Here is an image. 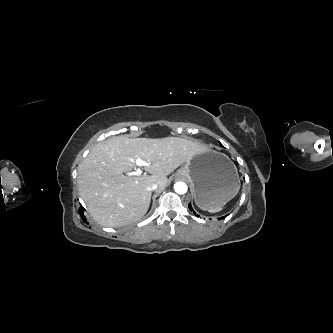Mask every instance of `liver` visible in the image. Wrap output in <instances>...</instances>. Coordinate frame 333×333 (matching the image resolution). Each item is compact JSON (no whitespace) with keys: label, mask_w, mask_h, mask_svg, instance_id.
I'll return each mask as SVG.
<instances>
[{"label":"liver","mask_w":333,"mask_h":333,"mask_svg":"<svg viewBox=\"0 0 333 333\" xmlns=\"http://www.w3.org/2000/svg\"><path fill=\"white\" fill-rule=\"evenodd\" d=\"M207 150L180 137L109 138L96 144L78 165V188L92 218L106 227H119L141 219L148 211L156 183L163 189L167 175L192 156ZM149 163L143 175L127 176L136 170L134 160Z\"/></svg>","instance_id":"obj_1"}]
</instances>
